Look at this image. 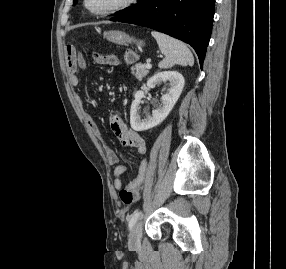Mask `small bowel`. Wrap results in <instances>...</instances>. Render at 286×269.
I'll return each mask as SVG.
<instances>
[{
    "label": "small bowel",
    "mask_w": 286,
    "mask_h": 269,
    "mask_svg": "<svg viewBox=\"0 0 286 269\" xmlns=\"http://www.w3.org/2000/svg\"><path fill=\"white\" fill-rule=\"evenodd\" d=\"M95 62L98 64L118 66L119 59L113 53L107 54H97L94 58ZM66 64L69 74V81L73 86L79 84V70L85 69L87 67L86 59L83 55L78 54L75 47L68 46L66 49ZM85 122L87 126L96 134L99 133L98 126L91 114L85 113ZM110 126L120 142L126 146L132 147L137 150L138 155L141 157V161L138 166V172L136 177L127 185H123L121 181V176L129 170V166L121 165L119 163L118 155L113 151L109 150L107 152V162L109 165H114L113 175H114V188L118 192L126 190L130 195L131 199L129 202H123L130 205L135 199L139 198L141 193L142 185L145 181L147 173V146L145 139L136 131L130 129L127 124L122 119L120 113L115 112L110 117Z\"/></svg>",
    "instance_id": "obj_1"
}]
</instances>
